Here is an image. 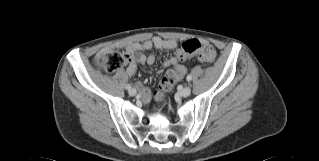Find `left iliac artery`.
<instances>
[{
	"label": "left iliac artery",
	"instance_id": "obj_1",
	"mask_svg": "<svg viewBox=\"0 0 319 161\" xmlns=\"http://www.w3.org/2000/svg\"><path fill=\"white\" fill-rule=\"evenodd\" d=\"M186 80H187L188 82H190V81L192 80V76H191L190 74L187 75Z\"/></svg>",
	"mask_w": 319,
	"mask_h": 161
}]
</instances>
